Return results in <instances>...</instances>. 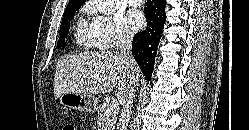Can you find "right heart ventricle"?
Returning a JSON list of instances; mask_svg holds the SVG:
<instances>
[{
	"mask_svg": "<svg viewBox=\"0 0 249 130\" xmlns=\"http://www.w3.org/2000/svg\"><path fill=\"white\" fill-rule=\"evenodd\" d=\"M75 42L83 48H93L97 47L96 40L90 25L88 26L85 20L80 19L77 22L75 33H74Z\"/></svg>",
	"mask_w": 249,
	"mask_h": 130,
	"instance_id": "obj_1",
	"label": "right heart ventricle"
}]
</instances>
